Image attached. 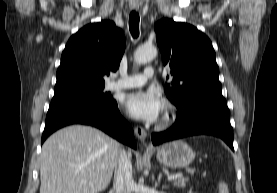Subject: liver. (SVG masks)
<instances>
[{"label":"liver","instance_id":"liver-1","mask_svg":"<svg viewBox=\"0 0 277 193\" xmlns=\"http://www.w3.org/2000/svg\"><path fill=\"white\" fill-rule=\"evenodd\" d=\"M120 144L90 126L73 125L43 144L40 193H98L112 178ZM131 157V152H129Z\"/></svg>","mask_w":277,"mask_h":193}]
</instances>
